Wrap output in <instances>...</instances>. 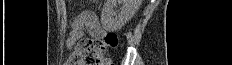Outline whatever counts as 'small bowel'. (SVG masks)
<instances>
[{
    "mask_svg": "<svg viewBox=\"0 0 232 65\" xmlns=\"http://www.w3.org/2000/svg\"><path fill=\"white\" fill-rule=\"evenodd\" d=\"M85 29H87L88 32L95 37H102L104 35V31L101 29L97 18L91 13H84L72 24L71 33L66 41L68 49H72L77 42L83 38ZM66 65H87L79 55L77 47L68 58Z\"/></svg>",
    "mask_w": 232,
    "mask_h": 65,
    "instance_id": "c3829d8e",
    "label": "small bowel"
}]
</instances>
